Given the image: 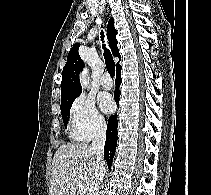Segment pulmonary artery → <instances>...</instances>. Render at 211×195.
I'll return each instance as SVG.
<instances>
[{
  "mask_svg": "<svg viewBox=\"0 0 211 195\" xmlns=\"http://www.w3.org/2000/svg\"><path fill=\"white\" fill-rule=\"evenodd\" d=\"M100 84L104 89H111L113 86V81L109 74L105 73L100 78Z\"/></svg>",
  "mask_w": 211,
  "mask_h": 195,
  "instance_id": "obj_1",
  "label": "pulmonary artery"
}]
</instances>
